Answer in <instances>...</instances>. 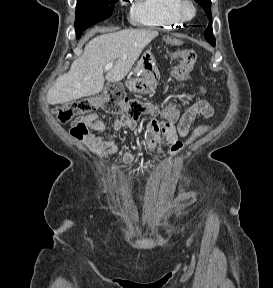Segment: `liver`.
Masks as SVG:
<instances>
[{
    "instance_id": "liver-1",
    "label": "liver",
    "mask_w": 273,
    "mask_h": 288,
    "mask_svg": "<svg viewBox=\"0 0 273 288\" xmlns=\"http://www.w3.org/2000/svg\"><path fill=\"white\" fill-rule=\"evenodd\" d=\"M93 38L76 59L70 70L60 76L48 90L47 102L64 104L73 100L98 94L105 80L121 81L131 70L143 49L158 36L150 29H125L117 32L104 30ZM113 62L112 68L103 76L104 68Z\"/></svg>"
}]
</instances>
